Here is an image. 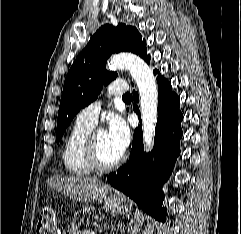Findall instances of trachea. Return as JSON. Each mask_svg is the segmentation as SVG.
<instances>
[{
	"label": "trachea",
	"instance_id": "trachea-1",
	"mask_svg": "<svg viewBox=\"0 0 241 234\" xmlns=\"http://www.w3.org/2000/svg\"><path fill=\"white\" fill-rule=\"evenodd\" d=\"M123 99L124 100H130L131 99V94L130 93H126L125 95H123Z\"/></svg>",
	"mask_w": 241,
	"mask_h": 234
}]
</instances>
